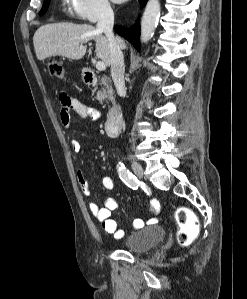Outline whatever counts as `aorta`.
Returning <instances> with one entry per match:
<instances>
[{"instance_id":"762f6f07","label":"aorta","mask_w":247,"mask_h":299,"mask_svg":"<svg viewBox=\"0 0 247 299\" xmlns=\"http://www.w3.org/2000/svg\"><path fill=\"white\" fill-rule=\"evenodd\" d=\"M160 16L159 0H149L141 20V42L147 43L154 35Z\"/></svg>"}]
</instances>
